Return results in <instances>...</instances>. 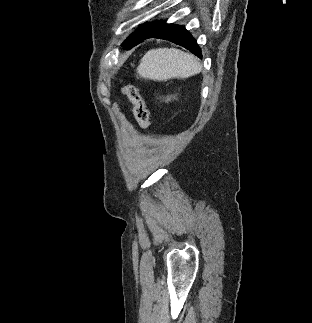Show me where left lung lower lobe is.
<instances>
[{"mask_svg":"<svg viewBox=\"0 0 312 323\" xmlns=\"http://www.w3.org/2000/svg\"><path fill=\"white\" fill-rule=\"evenodd\" d=\"M147 38H160L175 42L176 44L188 49L198 57H202L201 49L198 46L197 41L184 26L166 24L165 21H159L156 25H154L149 34L143 38V40Z\"/></svg>","mask_w":312,"mask_h":323,"instance_id":"1","label":"left lung lower lobe"}]
</instances>
